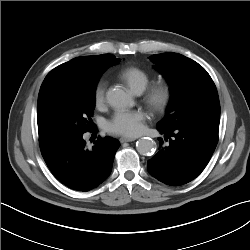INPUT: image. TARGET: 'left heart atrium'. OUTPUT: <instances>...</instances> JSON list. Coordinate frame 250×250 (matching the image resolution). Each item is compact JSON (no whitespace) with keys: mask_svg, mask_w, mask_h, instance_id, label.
<instances>
[{"mask_svg":"<svg viewBox=\"0 0 250 250\" xmlns=\"http://www.w3.org/2000/svg\"><path fill=\"white\" fill-rule=\"evenodd\" d=\"M147 118V113L141 110H119L108 121L107 128L113 133L133 138L143 132Z\"/></svg>","mask_w":250,"mask_h":250,"instance_id":"1","label":"left heart atrium"}]
</instances>
